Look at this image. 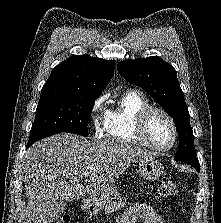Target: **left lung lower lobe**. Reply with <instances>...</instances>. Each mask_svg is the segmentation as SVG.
I'll list each match as a JSON object with an SVG mask.
<instances>
[{"mask_svg":"<svg viewBox=\"0 0 221 223\" xmlns=\"http://www.w3.org/2000/svg\"><path fill=\"white\" fill-rule=\"evenodd\" d=\"M197 171H200V166L199 167H195Z\"/></svg>","mask_w":221,"mask_h":223,"instance_id":"1","label":"left lung lower lobe"}]
</instances>
